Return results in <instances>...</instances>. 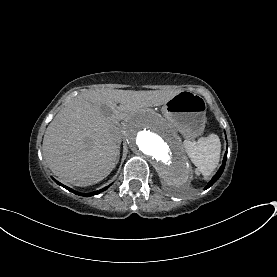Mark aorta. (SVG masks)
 <instances>
[{
	"label": "aorta",
	"mask_w": 277,
	"mask_h": 277,
	"mask_svg": "<svg viewBox=\"0 0 277 277\" xmlns=\"http://www.w3.org/2000/svg\"><path fill=\"white\" fill-rule=\"evenodd\" d=\"M126 140L134 153L154 167L164 183L180 187L190 179L191 167L181 140L158 114L146 111L135 115L128 122Z\"/></svg>",
	"instance_id": "762f6f07"
}]
</instances>
